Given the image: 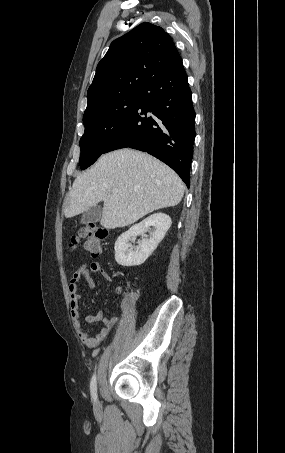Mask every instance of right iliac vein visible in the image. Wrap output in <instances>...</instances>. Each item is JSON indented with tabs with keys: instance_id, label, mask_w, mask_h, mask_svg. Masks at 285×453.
<instances>
[{
	"instance_id": "obj_1",
	"label": "right iliac vein",
	"mask_w": 285,
	"mask_h": 453,
	"mask_svg": "<svg viewBox=\"0 0 285 453\" xmlns=\"http://www.w3.org/2000/svg\"><path fill=\"white\" fill-rule=\"evenodd\" d=\"M96 407L99 408V403L98 402L96 403Z\"/></svg>"
}]
</instances>
